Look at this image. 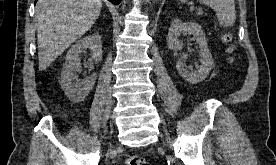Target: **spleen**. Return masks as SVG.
Segmentation results:
<instances>
[{
    "label": "spleen",
    "instance_id": "3e777b00",
    "mask_svg": "<svg viewBox=\"0 0 276 165\" xmlns=\"http://www.w3.org/2000/svg\"><path fill=\"white\" fill-rule=\"evenodd\" d=\"M185 3L187 0H180ZM205 5L211 7L217 15L219 25L232 26L236 20L234 0H202Z\"/></svg>",
    "mask_w": 276,
    "mask_h": 165
}]
</instances>
